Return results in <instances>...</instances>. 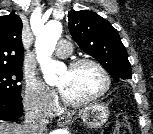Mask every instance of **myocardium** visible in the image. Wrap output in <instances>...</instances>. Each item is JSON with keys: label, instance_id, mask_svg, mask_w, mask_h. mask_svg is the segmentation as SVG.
Returning a JSON list of instances; mask_svg holds the SVG:
<instances>
[{"label": "myocardium", "instance_id": "1", "mask_svg": "<svg viewBox=\"0 0 153 134\" xmlns=\"http://www.w3.org/2000/svg\"><path fill=\"white\" fill-rule=\"evenodd\" d=\"M84 64L93 65L100 72V74L103 78V86L97 93H95V94H93L89 97H86V98H83V99H78V100L68 98L60 90L61 99H62L63 103L68 105V106L78 107V106H82V105L88 104L90 102H93V101L99 99L100 97H102L104 94H106L111 87L110 74L108 73V71L104 67V65L94 58L83 57V58L75 59V60H73L69 63L68 69L73 70V69H75V68H77L81 65H84Z\"/></svg>", "mask_w": 153, "mask_h": 134}]
</instances>
